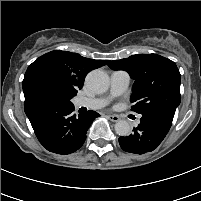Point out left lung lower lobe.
I'll return each mask as SVG.
<instances>
[{"instance_id":"0a47b994","label":"left lung lower lobe","mask_w":201,"mask_h":201,"mask_svg":"<svg viewBox=\"0 0 201 201\" xmlns=\"http://www.w3.org/2000/svg\"><path fill=\"white\" fill-rule=\"evenodd\" d=\"M174 114L157 111L142 115L134 133L119 138L121 148L130 153L143 154L156 149L168 133Z\"/></svg>"}]
</instances>
